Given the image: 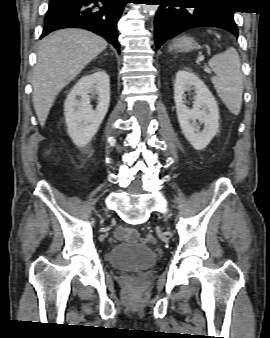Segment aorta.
Listing matches in <instances>:
<instances>
[{"label":"aorta","mask_w":270,"mask_h":338,"mask_svg":"<svg viewBox=\"0 0 270 338\" xmlns=\"http://www.w3.org/2000/svg\"><path fill=\"white\" fill-rule=\"evenodd\" d=\"M158 9L157 5H149V4H144L143 5V11L147 16H153Z\"/></svg>","instance_id":"1"}]
</instances>
